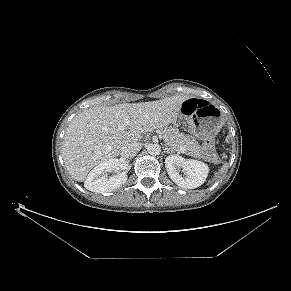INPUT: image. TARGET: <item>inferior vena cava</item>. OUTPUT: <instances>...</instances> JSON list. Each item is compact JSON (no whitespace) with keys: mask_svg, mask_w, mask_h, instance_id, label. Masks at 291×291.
<instances>
[{"mask_svg":"<svg viewBox=\"0 0 291 291\" xmlns=\"http://www.w3.org/2000/svg\"><path fill=\"white\" fill-rule=\"evenodd\" d=\"M140 149L141 143L139 142L127 143L123 146L120 154L123 158H132L140 151Z\"/></svg>","mask_w":291,"mask_h":291,"instance_id":"1","label":"inferior vena cava"}]
</instances>
